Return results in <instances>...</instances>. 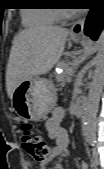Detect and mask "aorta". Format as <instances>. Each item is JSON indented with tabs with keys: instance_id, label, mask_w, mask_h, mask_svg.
Masks as SVG:
<instances>
[{
	"instance_id": "aorta-1",
	"label": "aorta",
	"mask_w": 104,
	"mask_h": 169,
	"mask_svg": "<svg viewBox=\"0 0 104 169\" xmlns=\"http://www.w3.org/2000/svg\"><path fill=\"white\" fill-rule=\"evenodd\" d=\"M97 48L99 50L98 56L103 52V39L100 38L97 42ZM104 89V69L103 66H97L91 87L88 93L85 112H84V135L89 141L96 139V128H97V113L100 98Z\"/></svg>"
}]
</instances>
